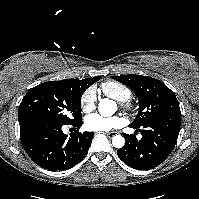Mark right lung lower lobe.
I'll list each match as a JSON object with an SVG mask.
<instances>
[{"label":"right lung lower lobe","instance_id":"obj_1","mask_svg":"<svg viewBox=\"0 0 199 199\" xmlns=\"http://www.w3.org/2000/svg\"><path fill=\"white\" fill-rule=\"evenodd\" d=\"M21 143L31 160L50 171H62L79 163L91 145L93 132L74 133L69 138L62 131L63 125L45 119L19 121ZM82 119L71 123L79 127Z\"/></svg>","mask_w":199,"mask_h":199}]
</instances>
